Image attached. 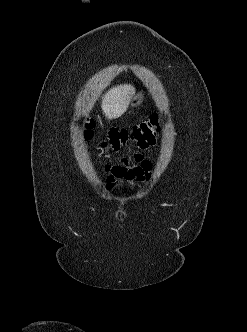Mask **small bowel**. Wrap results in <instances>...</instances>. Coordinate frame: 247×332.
<instances>
[{
  "label": "small bowel",
  "instance_id": "1",
  "mask_svg": "<svg viewBox=\"0 0 247 332\" xmlns=\"http://www.w3.org/2000/svg\"><path fill=\"white\" fill-rule=\"evenodd\" d=\"M135 165L129 166L127 161L115 166H108L110 172L107 177L106 187L109 190L114 189L120 181L126 182H144L150 177L151 163L144 159L142 155L135 156Z\"/></svg>",
  "mask_w": 247,
  "mask_h": 332
}]
</instances>
